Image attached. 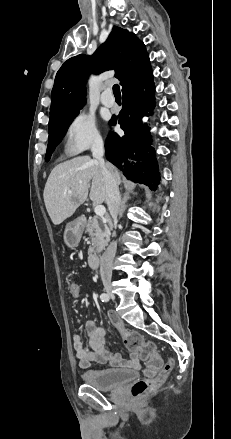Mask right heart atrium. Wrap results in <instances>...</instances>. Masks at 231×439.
I'll return each mask as SVG.
<instances>
[{"label": "right heart atrium", "instance_id": "1", "mask_svg": "<svg viewBox=\"0 0 231 439\" xmlns=\"http://www.w3.org/2000/svg\"><path fill=\"white\" fill-rule=\"evenodd\" d=\"M102 145L103 139L93 116L78 114L68 123L65 133V149L68 154L77 155Z\"/></svg>", "mask_w": 231, "mask_h": 439}]
</instances>
